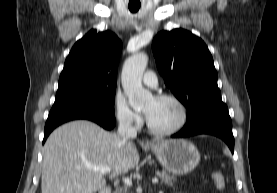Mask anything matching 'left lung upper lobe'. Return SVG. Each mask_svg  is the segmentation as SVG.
Segmentation results:
<instances>
[{
    "label": "left lung upper lobe",
    "instance_id": "1",
    "mask_svg": "<svg viewBox=\"0 0 277 193\" xmlns=\"http://www.w3.org/2000/svg\"><path fill=\"white\" fill-rule=\"evenodd\" d=\"M152 50L165 84L186 106L187 119L207 106L223 104L213 58L199 37L184 29L162 31Z\"/></svg>",
    "mask_w": 277,
    "mask_h": 193
}]
</instances>
